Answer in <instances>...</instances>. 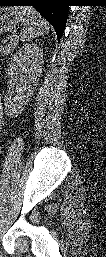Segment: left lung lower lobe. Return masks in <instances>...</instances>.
Returning <instances> with one entry per match:
<instances>
[{
  "mask_svg": "<svg viewBox=\"0 0 106 257\" xmlns=\"http://www.w3.org/2000/svg\"><path fill=\"white\" fill-rule=\"evenodd\" d=\"M70 0H0L6 6H33L55 29L58 41L64 32Z\"/></svg>",
  "mask_w": 106,
  "mask_h": 257,
  "instance_id": "0a47b994",
  "label": "left lung lower lobe"
}]
</instances>
